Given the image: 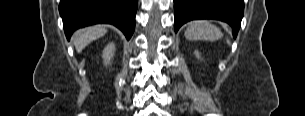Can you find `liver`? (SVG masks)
Wrapping results in <instances>:
<instances>
[{
	"instance_id": "1",
	"label": "liver",
	"mask_w": 305,
	"mask_h": 116,
	"mask_svg": "<svg viewBox=\"0 0 305 116\" xmlns=\"http://www.w3.org/2000/svg\"><path fill=\"white\" fill-rule=\"evenodd\" d=\"M107 32V29L103 25H97L85 28L81 32L78 33L75 38L74 45L76 51L81 52L89 43L94 40L104 36Z\"/></svg>"
}]
</instances>
